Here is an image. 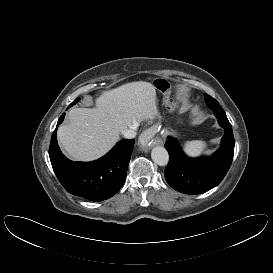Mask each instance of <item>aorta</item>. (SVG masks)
<instances>
[{
	"label": "aorta",
	"instance_id": "762f6f07",
	"mask_svg": "<svg viewBox=\"0 0 273 273\" xmlns=\"http://www.w3.org/2000/svg\"><path fill=\"white\" fill-rule=\"evenodd\" d=\"M151 158L159 166H166L169 161L167 150L162 146H156L152 149Z\"/></svg>",
	"mask_w": 273,
	"mask_h": 273
}]
</instances>
